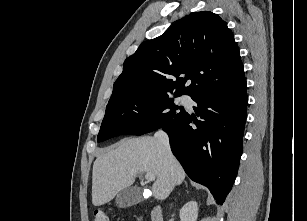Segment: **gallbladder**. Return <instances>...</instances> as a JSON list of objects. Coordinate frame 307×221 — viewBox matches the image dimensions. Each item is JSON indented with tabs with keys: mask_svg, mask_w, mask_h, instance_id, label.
<instances>
[{
	"mask_svg": "<svg viewBox=\"0 0 307 221\" xmlns=\"http://www.w3.org/2000/svg\"><path fill=\"white\" fill-rule=\"evenodd\" d=\"M142 200L141 190L137 187H127L121 190L116 197V205L120 208H126L136 205Z\"/></svg>",
	"mask_w": 307,
	"mask_h": 221,
	"instance_id": "gallbladder-1",
	"label": "gallbladder"
}]
</instances>
